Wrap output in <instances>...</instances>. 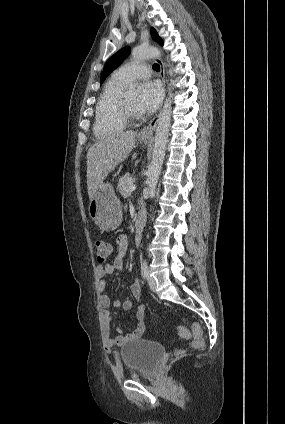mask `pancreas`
<instances>
[{"mask_svg":"<svg viewBox=\"0 0 285 424\" xmlns=\"http://www.w3.org/2000/svg\"><path fill=\"white\" fill-rule=\"evenodd\" d=\"M133 179L129 173L125 174L119 181L118 189L123 197H128L131 194L129 189L132 185Z\"/></svg>","mask_w":285,"mask_h":424,"instance_id":"cf45deb5","label":"pancreas"}]
</instances>
